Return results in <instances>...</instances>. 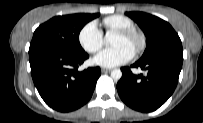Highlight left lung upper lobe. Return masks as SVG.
<instances>
[{"mask_svg":"<svg viewBox=\"0 0 203 123\" xmlns=\"http://www.w3.org/2000/svg\"><path fill=\"white\" fill-rule=\"evenodd\" d=\"M126 14L141 27L146 35L147 47L141 59L171 50H182L181 40L168 22L144 12Z\"/></svg>","mask_w":203,"mask_h":123,"instance_id":"left-lung-upper-lobe-1","label":"left lung upper lobe"}]
</instances>
